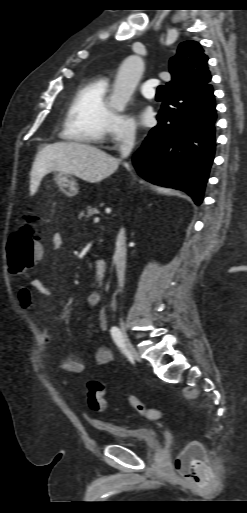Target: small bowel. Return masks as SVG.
<instances>
[{"instance_id": "small-bowel-1", "label": "small bowel", "mask_w": 247, "mask_h": 513, "mask_svg": "<svg viewBox=\"0 0 247 513\" xmlns=\"http://www.w3.org/2000/svg\"><path fill=\"white\" fill-rule=\"evenodd\" d=\"M63 244V235L60 232H55L52 236V245L55 249H59ZM30 288V289H29ZM29 288L21 286L19 289L18 297L20 303L25 307H30L32 304V291L39 293L42 296H49L52 291L51 289L38 278L31 279ZM102 296L99 292L92 291L86 296V303L89 307H95L98 309L97 312V323L100 330L105 331L107 328V314L102 306ZM41 344L40 351L43 357L49 355V349L51 346V334L49 328L45 325L41 328ZM113 360L112 351L106 347H99L93 356L94 364L98 367L106 366ZM55 367L64 370L69 373H81L84 371V362L74 354H68L59 360Z\"/></svg>"}]
</instances>
